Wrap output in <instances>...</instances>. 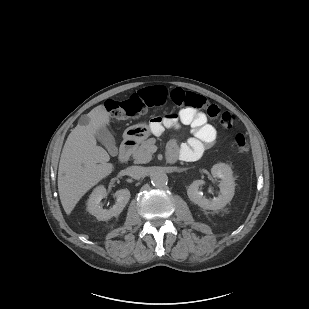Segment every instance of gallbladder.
<instances>
[{
	"label": "gallbladder",
	"instance_id": "bac80fb5",
	"mask_svg": "<svg viewBox=\"0 0 309 309\" xmlns=\"http://www.w3.org/2000/svg\"><path fill=\"white\" fill-rule=\"evenodd\" d=\"M95 137L107 148L112 156L118 154V148L115 145V139L107 127H101L97 130Z\"/></svg>",
	"mask_w": 309,
	"mask_h": 309
}]
</instances>
